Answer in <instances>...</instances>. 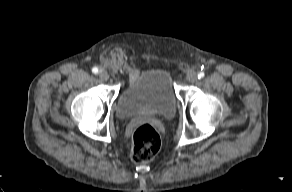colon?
Returning <instances> with one entry per match:
<instances>
[{
	"mask_svg": "<svg viewBox=\"0 0 292 192\" xmlns=\"http://www.w3.org/2000/svg\"><path fill=\"white\" fill-rule=\"evenodd\" d=\"M133 162L144 164L151 161L159 152L161 139L158 131L149 123L137 126L132 135Z\"/></svg>",
	"mask_w": 292,
	"mask_h": 192,
	"instance_id": "1",
	"label": "colon"
}]
</instances>
